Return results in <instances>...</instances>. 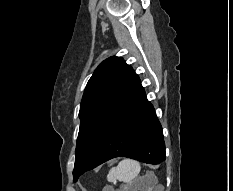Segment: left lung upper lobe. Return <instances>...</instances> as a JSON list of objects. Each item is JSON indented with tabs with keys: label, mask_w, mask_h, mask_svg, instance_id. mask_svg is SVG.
Segmentation results:
<instances>
[{
	"label": "left lung upper lobe",
	"mask_w": 233,
	"mask_h": 191,
	"mask_svg": "<svg viewBox=\"0 0 233 191\" xmlns=\"http://www.w3.org/2000/svg\"><path fill=\"white\" fill-rule=\"evenodd\" d=\"M140 79L120 57L104 60L87 83L80 105L73 175L84 165L95 143Z\"/></svg>",
	"instance_id": "5c2ea615"
}]
</instances>
